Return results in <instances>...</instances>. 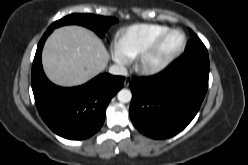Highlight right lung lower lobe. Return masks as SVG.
Segmentation results:
<instances>
[{
	"mask_svg": "<svg viewBox=\"0 0 248 165\" xmlns=\"http://www.w3.org/2000/svg\"><path fill=\"white\" fill-rule=\"evenodd\" d=\"M53 30L42 36L34 57L31 84L36 107L48 127L57 135L81 140L94 135L103 125L106 107L123 87L124 77L100 74L85 85L61 88L45 76L41 52Z\"/></svg>",
	"mask_w": 248,
	"mask_h": 165,
	"instance_id": "1",
	"label": "right lung lower lobe"
}]
</instances>
